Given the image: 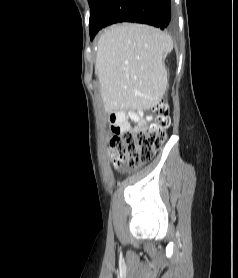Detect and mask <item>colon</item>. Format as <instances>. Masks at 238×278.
Here are the masks:
<instances>
[{
  "label": "colon",
  "instance_id": "obj_1",
  "mask_svg": "<svg viewBox=\"0 0 238 278\" xmlns=\"http://www.w3.org/2000/svg\"><path fill=\"white\" fill-rule=\"evenodd\" d=\"M156 119L149 127L115 132L109 149L116 168H136L149 162L166 139L170 126V110L161 102L156 106Z\"/></svg>",
  "mask_w": 238,
  "mask_h": 278
}]
</instances>
